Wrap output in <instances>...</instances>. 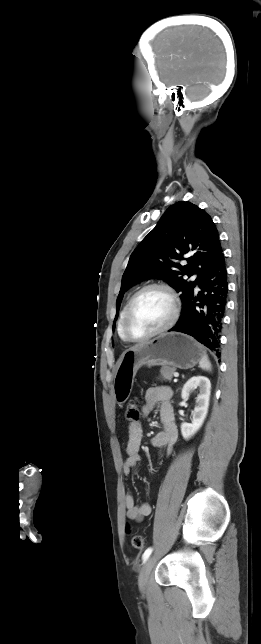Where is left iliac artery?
Listing matches in <instances>:
<instances>
[{"mask_svg":"<svg viewBox=\"0 0 261 644\" xmlns=\"http://www.w3.org/2000/svg\"><path fill=\"white\" fill-rule=\"evenodd\" d=\"M152 551H153V549L151 547H149V548H147L145 550V552L142 555L143 562H145L149 558V556L151 555Z\"/></svg>","mask_w":261,"mask_h":644,"instance_id":"1","label":"left iliac artery"}]
</instances>
